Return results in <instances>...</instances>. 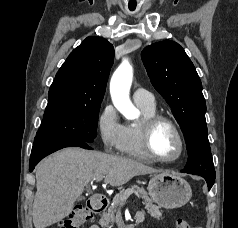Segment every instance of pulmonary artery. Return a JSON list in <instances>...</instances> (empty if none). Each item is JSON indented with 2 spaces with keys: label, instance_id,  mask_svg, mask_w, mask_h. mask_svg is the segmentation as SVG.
<instances>
[{
  "label": "pulmonary artery",
  "instance_id": "e3ab8cb5",
  "mask_svg": "<svg viewBox=\"0 0 238 228\" xmlns=\"http://www.w3.org/2000/svg\"><path fill=\"white\" fill-rule=\"evenodd\" d=\"M133 100L136 104L151 107L155 105L153 95L144 88H137L133 92Z\"/></svg>",
  "mask_w": 238,
  "mask_h": 228
}]
</instances>
